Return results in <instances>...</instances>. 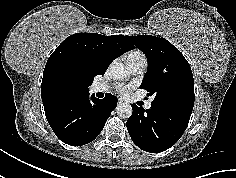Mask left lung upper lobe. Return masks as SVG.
<instances>
[{
    "label": "left lung upper lobe",
    "instance_id": "1",
    "mask_svg": "<svg viewBox=\"0 0 236 178\" xmlns=\"http://www.w3.org/2000/svg\"><path fill=\"white\" fill-rule=\"evenodd\" d=\"M130 43L145 53L148 69L141 88L153 104L192 111L194 80L191 67L182 53L169 41L150 35L128 36Z\"/></svg>",
    "mask_w": 236,
    "mask_h": 178
}]
</instances>
